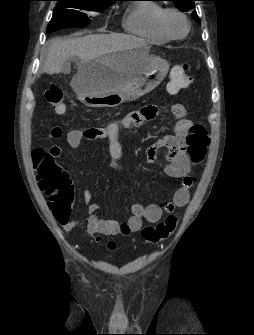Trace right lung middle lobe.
<instances>
[{
	"mask_svg": "<svg viewBox=\"0 0 254 335\" xmlns=\"http://www.w3.org/2000/svg\"><path fill=\"white\" fill-rule=\"evenodd\" d=\"M53 17L47 26V33L70 27H84L90 22L88 12H99L113 2L97 0H56Z\"/></svg>",
	"mask_w": 254,
	"mask_h": 335,
	"instance_id": "dd1d6c3e",
	"label": "right lung middle lobe"
}]
</instances>
